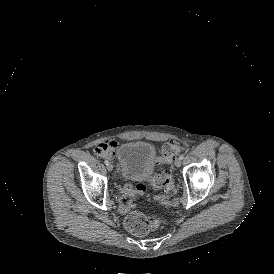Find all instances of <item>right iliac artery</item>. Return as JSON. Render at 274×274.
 Returning a JSON list of instances; mask_svg holds the SVG:
<instances>
[{"mask_svg":"<svg viewBox=\"0 0 274 274\" xmlns=\"http://www.w3.org/2000/svg\"><path fill=\"white\" fill-rule=\"evenodd\" d=\"M106 165H108L109 164V162L106 160L105 162H104Z\"/></svg>","mask_w":274,"mask_h":274,"instance_id":"82829eb1","label":"right iliac artery"}]
</instances>
